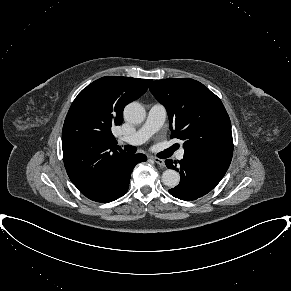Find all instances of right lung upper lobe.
Instances as JSON below:
<instances>
[{
  "label": "right lung upper lobe",
  "mask_w": 291,
  "mask_h": 291,
  "mask_svg": "<svg viewBox=\"0 0 291 291\" xmlns=\"http://www.w3.org/2000/svg\"><path fill=\"white\" fill-rule=\"evenodd\" d=\"M152 80L106 76L84 88L73 101L62 130L63 160L72 183L83 193L117 157L112 128L121 125L124 107L141 97Z\"/></svg>",
  "instance_id": "cb5924a9"
}]
</instances>
